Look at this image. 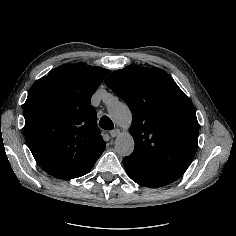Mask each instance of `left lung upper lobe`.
I'll use <instances>...</instances> for the list:
<instances>
[{"label": "left lung upper lobe", "mask_w": 236, "mask_h": 236, "mask_svg": "<svg viewBox=\"0 0 236 236\" xmlns=\"http://www.w3.org/2000/svg\"><path fill=\"white\" fill-rule=\"evenodd\" d=\"M105 84L129 106L135 141L132 159L171 182L179 179L198 148L194 106L164 70L131 66L111 73Z\"/></svg>", "instance_id": "1"}]
</instances>
